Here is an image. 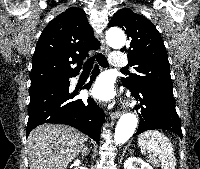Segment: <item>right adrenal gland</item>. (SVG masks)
Listing matches in <instances>:
<instances>
[{"label": "right adrenal gland", "mask_w": 200, "mask_h": 169, "mask_svg": "<svg viewBox=\"0 0 200 169\" xmlns=\"http://www.w3.org/2000/svg\"><path fill=\"white\" fill-rule=\"evenodd\" d=\"M90 153V149L88 148V146H83V148L81 149V155L87 156Z\"/></svg>", "instance_id": "1"}]
</instances>
